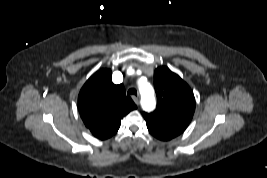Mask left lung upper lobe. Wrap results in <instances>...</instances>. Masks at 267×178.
Wrapping results in <instances>:
<instances>
[{"instance_id": "left-lung-upper-lobe-1", "label": "left lung upper lobe", "mask_w": 267, "mask_h": 178, "mask_svg": "<svg viewBox=\"0 0 267 178\" xmlns=\"http://www.w3.org/2000/svg\"><path fill=\"white\" fill-rule=\"evenodd\" d=\"M157 108L144 112L149 132L162 141L182 134L192 120L195 98L192 90L177 74L162 66L154 72Z\"/></svg>"}]
</instances>
